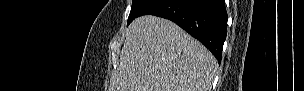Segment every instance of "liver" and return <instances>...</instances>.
Segmentation results:
<instances>
[{
	"label": "liver",
	"instance_id": "liver-1",
	"mask_svg": "<svg viewBox=\"0 0 304 91\" xmlns=\"http://www.w3.org/2000/svg\"><path fill=\"white\" fill-rule=\"evenodd\" d=\"M217 60L175 23L136 18L126 31L110 91H210Z\"/></svg>",
	"mask_w": 304,
	"mask_h": 91
}]
</instances>
